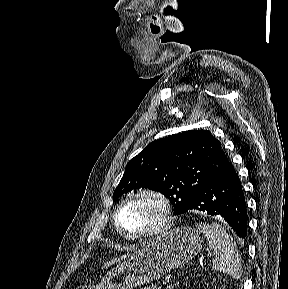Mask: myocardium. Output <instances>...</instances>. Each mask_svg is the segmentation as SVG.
Listing matches in <instances>:
<instances>
[{
  "label": "myocardium",
  "instance_id": "myocardium-1",
  "mask_svg": "<svg viewBox=\"0 0 288 289\" xmlns=\"http://www.w3.org/2000/svg\"><path fill=\"white\" fill-rule=\"evenodd\" d=\"M142 196H147V197H152L156 199L161 208H162V218L160 223L154 227L151 230L145 231V232H140V233H130L127 232L121 225L120 221V214L123 210V208L130 203L132 200L142 197ZM173 220H174V212H173V206L170 202V200L161 192L153 190V189H140L128 197H126L121 204L118 206V208L115 211L114 215V222L117 230L119 233L124 236L127 239H132V240H138V239H147V238H155L159 237L163 234H165L167 231H169L172 226H173Z\"/></svg>",
  "mask_w": 288,
  "mask_h": 289
}]
</instances>
